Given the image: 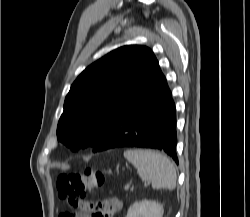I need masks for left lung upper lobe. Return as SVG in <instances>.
I'll use <instances>...</instances> for the list:
<instances>
[{
    "label": "left lung upper lobe",
    "mask_w": 250,
    "mask_h": 217,
    "mask_svg": "<svg viewBox=\"0 0 250 217\" xmlns=\"http://www.w3.org/2000/svg\"><path fill=\"white\" fill-rule=\"evenodd\" d=\"M156 61L149 48L130 45L87 67L65 98L58 140L74 151L95 147Z\"/></svg>",
    "instance_id": "5c2ea615"
}]
</instances>
